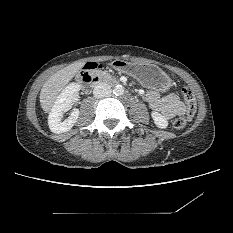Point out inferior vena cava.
I'll use <instances>...</instances> for the list:
<instances>
[{"label": "inferior vena cava", "mask_w": 233, "mask_h": 233, "mask_svg": "<svg viewBox=\"0 0 233 233\" xmlns=\"http://www.w3.org/2000/svg\"><path fill=\"white\" fill-rule=\"evenodd\" d=\"M112 90L110 86L106 83H99L93 89V95L96 98H104L111 95Z\"/></svg>", "instance_id": "1"}]
</instances>
